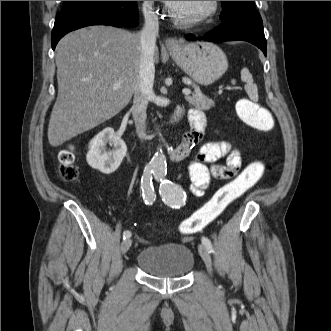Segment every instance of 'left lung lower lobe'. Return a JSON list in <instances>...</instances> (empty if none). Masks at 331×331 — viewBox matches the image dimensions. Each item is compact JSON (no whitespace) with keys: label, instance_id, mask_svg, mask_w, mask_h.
<instances>
[{"label":"left lung lower lobe","instance_id":"1","mask_svg":"<svg viewBox=\"0 0 331 331\" xmlns=\"http://www.w3.org/2000/svg\"><path fill=\"white\" fill-rule=\"evenodd\" d=\"M187 40L206 41H248L260 48L266 56V39L263 31V23L259 14L241 16L225 20L204 37L189 34Z\"/></svg>","mask_w":331,"mask_h":331}]
</instances>
